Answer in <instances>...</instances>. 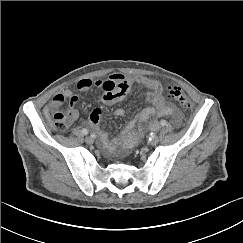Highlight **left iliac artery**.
<instances>
[{"instance_id":"1","label":"left iliac artery","mask_w":243,"mask_h":243,"mask_svg":"<svg viewBox=\"0 0 243 243\" xmlns=\"http://www.w3.org/2000/svg\"><path fill=\"white\" fill-rule=\"evenodd\" d=\"M166 124H167V123H166L165 120H161V121H160V125H161L162 127L166 126ZM154 137H155V134L151 133L150 140L153 139Z\"/></svg>"}]
</instances>
